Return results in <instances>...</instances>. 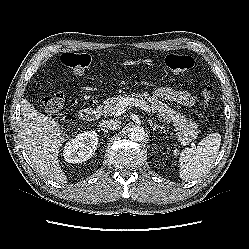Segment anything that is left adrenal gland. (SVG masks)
Segmentation results:
<instances>
[{
    "label": "left adrenal gland",
    "instance_id": "a2214340",
    "mask_svg": "<svg viewBox=\"0 0 249 249\" xmlns=\"http://www.w3.org/2000/svg\"><path fill=\"white\" fill-rule=\"evenodd\" d=\"M149 124H150L153 131H155L156 129H163L164 128L163 125L153 123L151 120H149Z\"/></svg>",
    "mask_w": 249,
    "mask_h": 249
}]
</instances>
